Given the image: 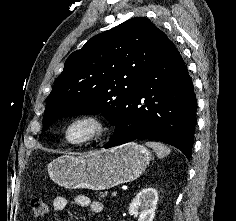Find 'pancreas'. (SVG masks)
Returning a JSON list of instances; mask_svg holds the SVG:
<instances>
[{"label":"pancreas","mask_w":236,"mask_h":221,"mask_svg":"<svg viewBox=\"0 0 236 221\" xmlns=\"http://www.w3.org/2000/svg\"><path fill=\"white\" fill-rule=\"evenodd\" d=\"M106 195H107L106 193H101V194L99 195V199H101V198L104 199V198L106 197Z\"/></svg>","instance_id":"obj_1"}]
</instances>
